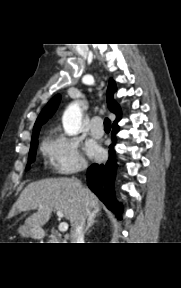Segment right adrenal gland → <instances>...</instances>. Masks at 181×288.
<instances>
[{"mask_svg": "<svg viewBox=\"0 0 181 288\" xmlns=\"http://www.w3.org/2000/svg\"><path fill=\"white\" fill-rule=\"evenodd\" d=\"M100 214V209H94L92 211V213L89 214L88 220H87V225L85 227L84 230V234L87 233V231L89 230V228L91 226H93L95 223H97V221L95 220V218Z\"/></svg>", "mask_w": 181, "mask_h": 288, "instance_id": "obj_1", "label": "right adrenal gland"}]
</instances>
